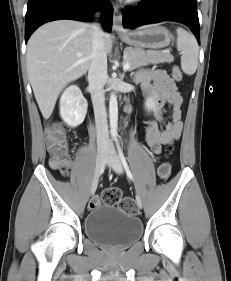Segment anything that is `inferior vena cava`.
<instances>
[{
	"instance_id": "602c4592",
	"label": "inferior vena cava",
	"mask_w": 231,
	"mask_h": 281,
	"mask_svg": "<svg viewBox=\"0 0 231 281\" xmlns=\"http://www.w3.org/2000/svg\"><path fill=\"white\" fill-rule=\"evenodd\" d=\"M91 27L92 54L88 71V82L95 115L97 144L99 148H107L109 136L103 90L107 80V54L105 51L104 32L98 23H93Z\"/></svg>"
}]
</instances>
